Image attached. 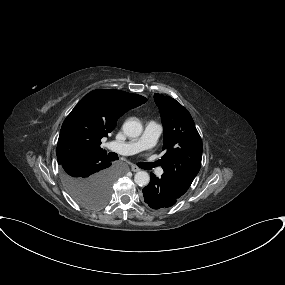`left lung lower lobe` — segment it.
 I'll use <instances>...</instances> for the list:
<instances>
[{
  "label": "left lung lower lobe",
  "instance_id": "1",
  "mask_svg": "<svg viewBox=\"0 0 285 285\" xmlns=\"http://www.w3.org/2000/svg\"><path fill=\"white\" fill-rule=\"evenodd\" d=\"M186 191L170 176L163 174L158 178L153 173L149 185L142 190L145 202L152 209L171 207Z\"/></svg>",
  "mask_w": 285,
  "mask_h": 285
}]
</instances>
